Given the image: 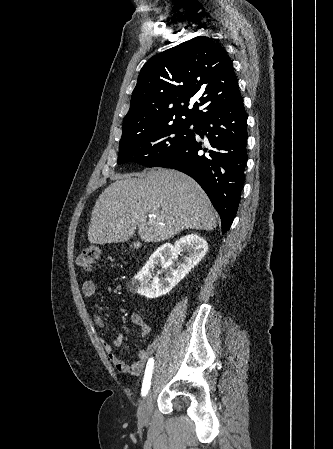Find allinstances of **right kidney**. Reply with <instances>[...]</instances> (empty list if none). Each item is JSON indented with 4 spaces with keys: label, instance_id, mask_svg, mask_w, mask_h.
I'll list each match as a JSON object with an SVG mask.
<instances>
[{
    "label": "right kidney",
    "instance_id": "ca27d5eb",
    "mask_svg": "<svg viewBox=\"0 0 333 449\" xmlns=\"http://www.w3.org/2000/svg\"><path fill=\"white\" fill-rule=\"evenodd\" d=\"M208 250L207 242L197 234L180 238L174 246L164 244L149 258L145 266L136 276L137 293L149 299H155L169 293L205 256ZM185 251L186 256L173 269V259ZM166 271L165 277H159L160 272L154 273L155 266Z\"/></svg>",
    "mask_w": 333,
    "mask_h": 449
}]
</instances>
